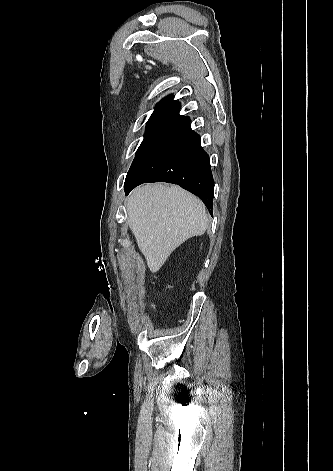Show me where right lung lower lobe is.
Wrapping results in <instances>:
<instances>
[{
    "label": "right lung lower lobe",
    "instance_id": "98d812e1",
    "mask_svg": "<svg viewBox=\"0 0 333 471\" xmlns=\"http://www.w3.org/2000/svg\"><path fill=\"white\" fill-rule=\"evenodd\" d=\"M145 182L178 184L197 195L212 214L214 181L200 136L185 116L160 134L132 163L124 183L128 195Z\"/></svg>",
    "mask_w": 333,
    "mask_h": 471
}]
</instances>
